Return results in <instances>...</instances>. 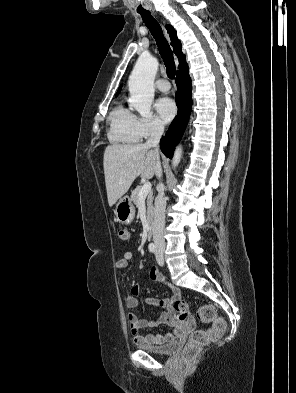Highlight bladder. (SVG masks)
Instances as JSON below:
<instances>
[{"label":"bladder","mask_w":296,"mask_h":393,"mask_svg":"<svg viewBox=\"0 0 296 393\" xmlns=\"http://www.w3.org/2000/svg\"><path fill=\"white\" fill-rule=\"evenodd\" d=\"M177 346L176 341H170L169 343L165 344L162 347L156 348V347H152L150 345L147 344H141L138 345V348L140 350L152 353V354H156V355H169L171 354L175 348Z\"/></svg>","instance_id":"1"}]
</instances>
